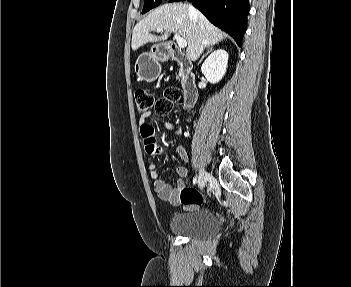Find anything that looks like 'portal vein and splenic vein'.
<instances>
[{"mask_svg": "<svg viewBox=\"0 0 351 287\" xmlns=\"http://www.w3.org/2000/svg\"><path fill=\"white\" fill-rule=\"evenodd\" d=\"M163 31V28H157V32ZM174 39L177 41L178 47L184 49L187 46V42L179 34L175 33Z\"/></svg>", "mask_w": 351, "mask_h": 287, "instance_id": "1", "label": "portal vein and splenic vein"}]
</instances>
